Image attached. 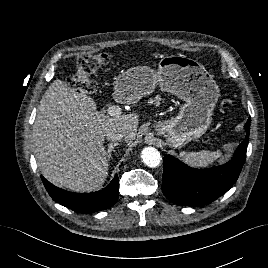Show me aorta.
<instances>
[{
  "mask_svg": "<svg viewBox=\"0 0 268 268\" xmlns=\"http://www.w3.org/2000/svg\"><path fill=\"white\" fill-rule=\"evenodd\" d=\"M141 158L145 165L154 168L160 165L161 155L160 152L154 147H146L141 152Z\"/></svg>",
  "mask_w": 268,
  "mask_h": 268,
  "instance_id": "obj_1",
  "label": "aorta"
}]
</instances>
